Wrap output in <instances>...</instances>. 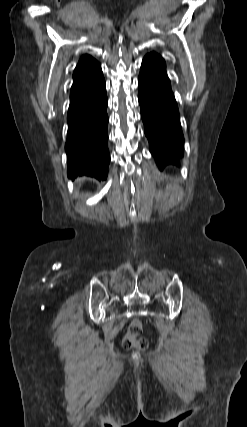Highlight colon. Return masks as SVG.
<instances>
[{
	"label": "colon",
	"instance_id": "1",
	"mask_svg": "<svg viewBox=\"0 0 247 427\" xmlns=\"http://www.w3.org/2000/svg\"><path fill=\"white\" fill-rule=\"evenodd\" d=\"M142 331V325L139 321H134L126 334V336L123 339V347L130 349V348H140V349H146L147 348V342L146 340L140 339L139 335Z\"/></svg>",
	"mask_w": 247,
	"mask_h": 427
}]
</instances>
